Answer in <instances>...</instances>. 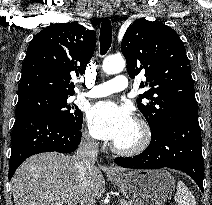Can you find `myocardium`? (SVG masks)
<instances>
[{
	"mask_svg": "<svg viewBox=\"0 0 212 205\" xmlns=\"http://www.w3.org/2000/svg\"><path fill=\"white\" fill-rule=\"evenodd\" d=\"M139 130L138 140L130 146H120L113 143L112 149L115 153L125 156H133L145 151L152 141V131L149 123L143 118H136L134 120Z\"/></svg>",
	"mask_w": 212,
	"mask_h": 205,
	"instance_id": "obj_1",
	"label": "myocardium"
}]
</instances>
